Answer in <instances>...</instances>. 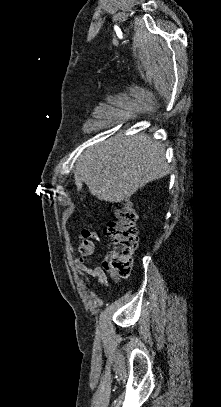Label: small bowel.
<instances>
[{
    "label": "small bowel",
    "instance_id": "c3829d8e",
    "mask_svg": "<svg viewBox=\"0 0 221 407\" xmlns=\"http://www.w3.org/2000/svg\"><path fill=\"white\" fill-rule=\"evenodd\" d=\"M101 238L95 232H90L88 236L82 235L79 237V257L74 262V268L78 275L82 279V282L86 285L90 284V277H94L98 280L100 286L103 289H107L109 286L108 278L106 274V260L103 262L102 266L89 267V259L95 251V243H99Z\"/></svg>",
    "mask_w": 221,
    "mask_h": 407
}]
</instances>
